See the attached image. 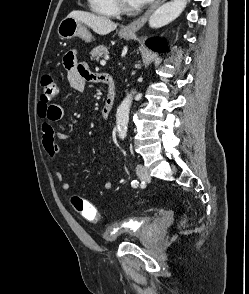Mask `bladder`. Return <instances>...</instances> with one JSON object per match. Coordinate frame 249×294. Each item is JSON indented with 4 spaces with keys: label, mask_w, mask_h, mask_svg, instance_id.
Here are the masks:
<instances>
[{
    "label": "bladder",
    "mask_w": 249,
    "mask_h": 294,
    "mask_svg": "<svg viewBox=\"0 0 249 294\" xmlns=\"http://www.w3.org/2000/svg\"><path fill=\"white\" fill-rule=\"evenodd\" d=\"M153 224L154 219L152 217L144 216L130 222L129 225L120 232H113L117 228V225L110 226L102 234V238L105 243H114L122 236H126L129 239L141 240L146 238Z\"/></svg>",
    "instance_id": "31cf9c89"
}]
</instances>
